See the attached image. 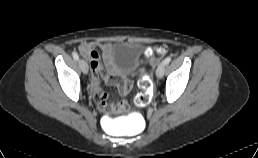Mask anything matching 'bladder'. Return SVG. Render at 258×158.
I'll use <instances>...</instances> for the list:
<instances>
[{
	"label": "bladder",
	"mask_w": 258,
	"mask_h": 158,
	"mask_svg": "<svg viewBox=\"0 0 258 158\" xmlns=\"http://www.w3.org/2000/svg\"><path fill=\"white\" fill-rule=\"evenodd\" d=\"M144 51V46L140 43L118 42L112 46L111 57L115 64L123 67L128 74H132L137 70Z\"/></svg>",
	"instance_id": "31cf9c89"
}]
</instances>
